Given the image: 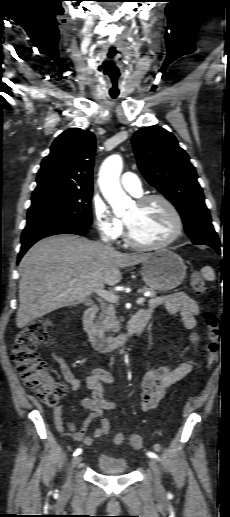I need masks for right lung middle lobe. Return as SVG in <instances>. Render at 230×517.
<instances>
[{
	"instance_id": "dd1d6c3e",
	"label": "right lung middle lobe",
	"mask_w": 230,
	"mask_h": 517,
	"mask_svg": "<svg viewBox=\"0 0 230 517\" xmlns=\"http://www.w3.org/2000/svg\"><path fill=\"white\" fill-rule=\"evenodd\" d=\"M92 190L56 193L32 199L27 225L46 221H67L90 226Z\"/></svg>"
}]
</instances>
